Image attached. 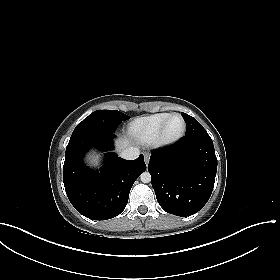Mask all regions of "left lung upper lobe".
Instances as JSON below:
<instances>
[{
  "mask_svg": "<svg viewBox=\"0 0 280 280\" xmlns=\"http://www.w3.org/2000/svg\"><path fill=\"white\" fill-rule=\"evenodd\" d=\"M181 114L186 122V127H187L186 136L195 135V134H208L207 131L203 128V126L196 121V119H194L193 117L185 113H181Z\"/></svg>",
  "mask_w": 280,
  "mask_h": 280,
  "instance_id": "1",
  "label": "left lung upper lobe"
}]
</instances>
